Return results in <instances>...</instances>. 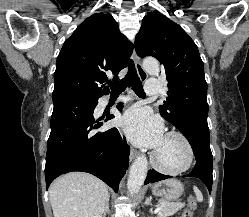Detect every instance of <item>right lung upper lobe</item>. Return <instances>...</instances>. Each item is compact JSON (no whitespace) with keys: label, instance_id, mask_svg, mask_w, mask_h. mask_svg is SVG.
Segmentation results:
<instances>
[{"label":"right lung upper lobe","instance_id":"1","mask_svg":"<svg viewBox=\"0 0 249 217\" xmlns=\"http://www.w3.org/2000/svg\"><path fill=\"white\" fill-rule=\"evenodd\" d=\"M132 51L133 45L120 32L110 13L93 14L64 42L57 58L53 94L75 92L98 96L108 93V87L103 84L107 74H113L112 80L117 81ZM100 84L103 85L100 87Z\"/></svg>","mask_w":249,"mask_h":217}]
</instances>
